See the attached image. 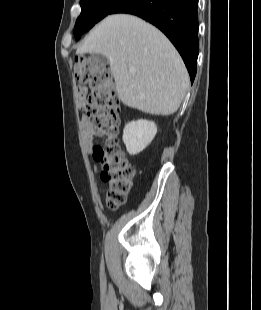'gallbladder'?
Wrapping results in <instances>:
<instances>
[{
	"mask_svg": "<svg viewBox=\"0 0 261 310\" xmlns=\"http://www.w3.org/2000/svg\"><path fill=\"white\" fill-rule=\"evenodd\" d=\"M90 58L93 59L95 63L101 67H105L108 64L107 57L102 54H92Z\"/></svg>",
	"mask_w": 261,
	"mask_h": 310,
	"instance_id": "bac80fb5",
	"label": "gallbladder"
}]
</instances>
